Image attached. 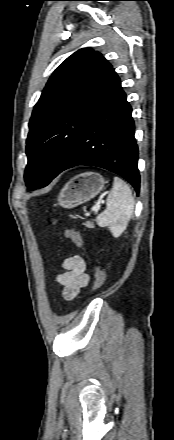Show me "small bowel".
I'll list each match as a JSON object with an SVG mask.
<instances>
[{
    "label": "small bowel",
    "instance_id": "small-bowel-1",
    "mask_svg": "<svg viewBox=\"0 0 174 440\" xmlns=\"http://www.w3.org/2000/svg\"><path fill=\"white\" fill-rule=\"evenodd\" d=\"M62 268L63 272L56 276V281L63 287V298L67 301L80 298L90 281L84 259L79 255L69 256L63 261Z\"/></svg>",
    "mask_w": 174,
    "mask_h": 440
}]
</instances>
